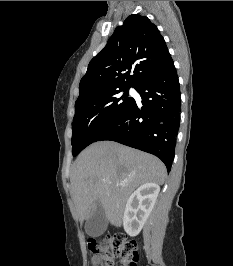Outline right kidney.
Here are the masks:
<instances>
[{"label":"right kidney","instance_id":"ca27d5eb","mask_svg":"<svg viewBox=\"0 0 233 266\" xmlns=\"http://www.w3.org/2000/svg\"><path fill=\"white\" fill-rule=\"evenodd\" d=\"M160 192L156 183L141 185L129 197L123 217L124 230L130 236H136L143 228Z\"/></svg>","mask_w":233,"mask_h":266}]
</instances>
